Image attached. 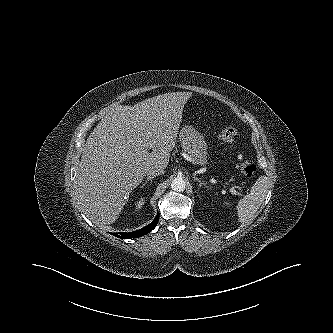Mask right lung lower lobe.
<instances>
[{
    "instance_id": "obj_1",
    "label": "right lung lower lobe",
    "mask_w": 333,
    "mask_h": 333,
    "mask_svg": "<svg viewBox=\"0 0 333 333\" xmlns=\"http://www.w3.org/2000/svg\"><path fill=\"white\" fill-rule=\"evenodd\" d=\"M159 221V214L156 216V218L147 226L137 230V231H134V232H120L119 234L117 233H111L112 235L118 237V238H121V239H128V238H137V237H140V236H143V235H146L148 234L149 232H151L157 225Z\"/></svg>"
}]
</instances>
